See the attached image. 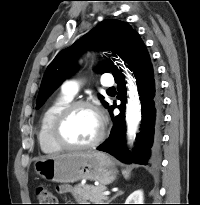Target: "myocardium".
Here are the masks:
<instances>
[{
    "instance_id": "1",
    "label": "myocardium",
    "mask_w": 200,
    "mask_h": 205,
    "mask_svg": "<svg viewBox=\"0 0 200 205\" xmlns=\"http://www.w3.org/2000/svg\"><path fill=\"white\" fill-rule=\"evenodd\" d=\"M80 108L91 109L98 115L100 121V129L98 135L91 142L86 144H72L65 140L63 136V127L66 121L68 120V118L72 115V113ZM105 135H106V121L103 114L95 104L85 100L71 101L69 104H67L57 115L52 127V137L54 142L61 149H65V150H86V149L94 148L103 141Z\"/></svg>"
}]
</instances>
